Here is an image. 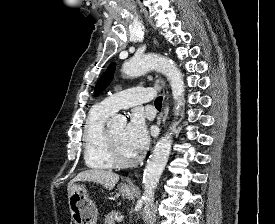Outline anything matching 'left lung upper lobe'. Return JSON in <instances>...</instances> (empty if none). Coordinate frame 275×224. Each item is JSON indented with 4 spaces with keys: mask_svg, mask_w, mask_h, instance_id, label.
Instances as JSON below:
<instances>
[{
    "mask_svg": "<svg viewBox=\"0 0 275 224\" xmlns=\"http://www.w3.org/2000/svg\"><path fill=\"white\" fill-rule=\"evenodd\" d=\"M116 64L111 63L106 72L103 73L99 81L97 82L95 86V96H98L112 81L113 79V73L115 71Z\"/></svg>",
    "mask_w": 275,
    "mask_h": 224,
    "instance_id": "1",
    "label": "left lung upper lobe"
}]
</instances>
